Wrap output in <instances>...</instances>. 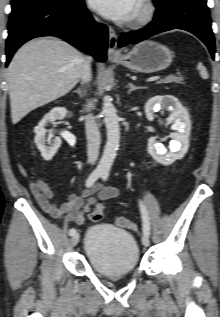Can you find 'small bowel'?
<instances>
[{
  "label": "small bowel",
  "instance_id": "small-bowel-1",
  "mask_svg": "<svg viewBox=\"0 0 220 317\" xmlns=\"http://www.w3.org/2000/svg\"><path fill=\"white\" fill-rule=\"evenodd\" d=\"M30 189L37 203L42 210L54 219L65 217L68 221L76 224H83L85 215L92 212L101 202L118 195V190L113 187H102L101 184H94L81 193H74L69 196L67 202L57 206L52 200L55 192L51 185L37 179L30 184Z\"/></svg>",
  "mask_w": 220,
  "mask_h": 317
}]
</instances>
